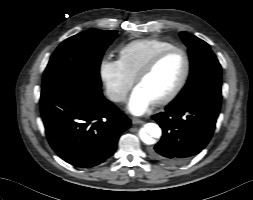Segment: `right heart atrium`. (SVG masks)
<instances>
[{
  "label": "right heart atrium",
  "mask_w": 253,
  "mask_h": 200,
  "mask_svg": "<svg viewBox=\"0 0 253 200\" xmlns=\"http://www.w3.org/2000/svg\"><path fill=\"white\" fill-rule=\"evenodd\" d=\"M98 72L107 97L115 103L123 102L134 80L126 73L120 61L105 57L100 61Z\"/></svg>",
  "instance_id": "1"
}]
</instances>
